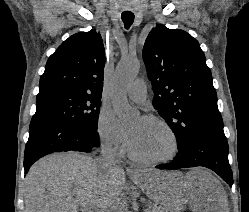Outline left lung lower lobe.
<instances>
[{
	"label": "left lung lower lobe",
	"mask_w": 249,
	"mask_h": 212,
	"mask_svg": "<svg viewBox=\"0 0 249 212\" xmlns=\"http://www.w3.org/2000/svg\"><path fill=\"white\" fill-rule=\"evenodd\" d=\"M229 147L223 128H210L193 133L187 143L178 148L173 161L156 166L159 169H179L202 166L216 172L232 186V170L228 162Z\"/></svg>",
	"instance_id": "1"
}]
</instances>
